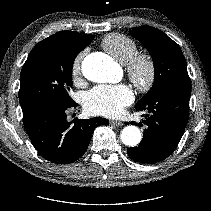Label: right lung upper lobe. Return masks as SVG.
I'll use <instances>...</instances> for the list:
<instances>
[{"label":"right lung upper lobe","mask_w":211,"mask_h":211,"mask_svg":"<svg viewBox=\"0 0 211 211\" xmlns=\"http://www.w3.org/2000/svg\"><path fill=\"white\" fill-rule=\"evenodd\" d=\"M92 35H81L73 31H60L45 40L56 45L66 46L74 43L88 41Z\"/></svg>","instance_id":"cb5924a9"}]
</instances>
